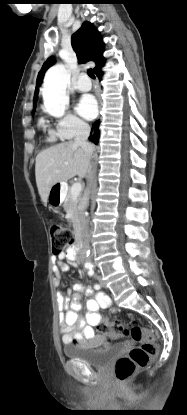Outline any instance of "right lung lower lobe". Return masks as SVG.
<instances>
[{"instance_id":"obj_1","label":"right lung lower lobe","mask_w":187,"mask_h":415,"mask_svg":"<svg viewBox=\"0 0 187 415\" xmlns=\"http://www.w3.org/2000/svg\"><path fill=\"white\" fill-rule=\"evenodd\" d=\"M103 66V65H102ZM101 66V67H102ZM95 74L97 75V77L99 78V79H101V76L103 75V72L101 71V68L97 71V72H95ZM99 125V121H97L96 123H95V126H98ZM92 142H94L95 144H97L98 143V139H99V130H96V133H95V135L93 136V137H90L89 138Z\"/></svg>"}]
</instances>
